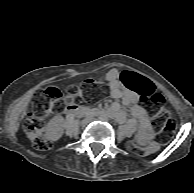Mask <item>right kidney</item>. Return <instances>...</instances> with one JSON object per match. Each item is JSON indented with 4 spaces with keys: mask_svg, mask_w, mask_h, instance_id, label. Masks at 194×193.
Masks as SVG:
<instances>
[{
    "mask_svg": "<svg viewBox=\"0 0 194 193\" xmlns=\"http://www.w3.org/2000/svg\"><path fill=\"white\" fill-rule=\"evenodd\" d=\"M63 134V128L57 117H54L48 124V137L50 140L56 141Z\"/></svg>",
    "mask_w": 194,
    "mask_h": 193,
    "instance_id": "obj_1",
    "label": "right kidney"
}]
</instances>
